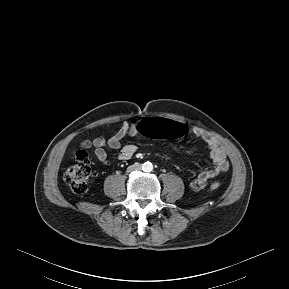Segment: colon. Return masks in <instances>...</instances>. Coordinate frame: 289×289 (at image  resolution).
Masks as SVG:
<instances>
[{
	"mask_svg": "<svg viewBox=\"0 0 289 289\" xmlns=\"http://www.w3.org/2000/svg\"><path fill=\"white\" fill-rule=\"evenodd\" d=\"M136 132L141 137L179 139L186 135L187 129L175 120L143 118L137 123ZM86 147L87 144L84 143L83 148L77 151L75 163L66 170L64 175L65 182L76 194H83L87 190L91 173ZM220 185V182L215 181L210 184V189L217 190Z\"/></svg>",
	"mask_w": 289,
	"mask_h": 289,
	"instance_id": "obj_1",
	"label": "colon"
}]
</instances>
